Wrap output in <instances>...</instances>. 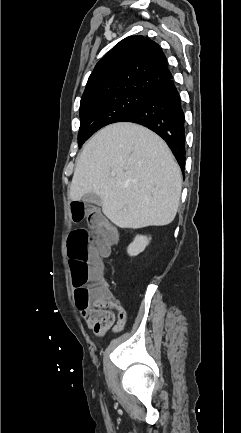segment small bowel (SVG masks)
<instances>
[{"instance_id":"c3829d8e","label":"small bowel","mask_w":241,"mask_h":433,"mask_svg":"<svg viewBox=\"0 0 241 433\" xmlns=\"http://www.w3.org/2000/svg\"><path fill=\"white\" fill-rule=\"evenodd\" d=\"M105 296L99 298L88 307L86 312H81L88 327L98 337H103L108 330L121 331L126 324L127 313L114 297L111 286L102 281Z\"/></svg>"}]
</instances>
